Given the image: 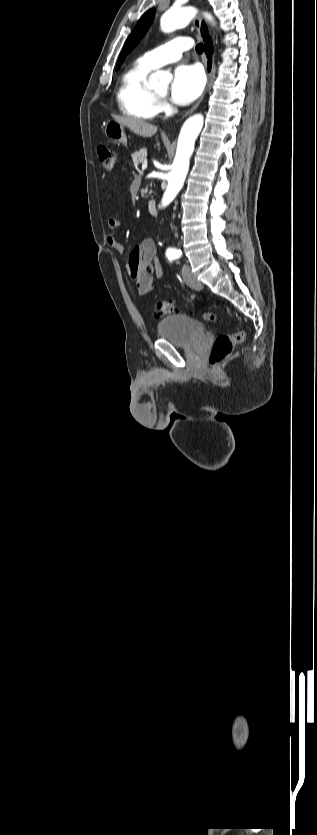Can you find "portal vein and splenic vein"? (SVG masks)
<instances>
[{
	"mask_svg": "<svg viewBox=\"0 0 317 835\" xmlns=\"http://www.w3.org/2000/svg\"><path fill=\"white\" fill-rule=\"evenodd\" d=\"M145 169H147V163L142 164V170H145Z\"/></svg>",
	"mask_w": 317,
	"mask_h": 835,
	"instance_id": "portal-vein-and-splenic-vein-1",
	"label": "portal vein and splenic vein"
}]
</instances>
